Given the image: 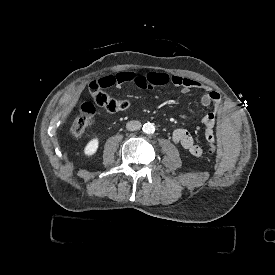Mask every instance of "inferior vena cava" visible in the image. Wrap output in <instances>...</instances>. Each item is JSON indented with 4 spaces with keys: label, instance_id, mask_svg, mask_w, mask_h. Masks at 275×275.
Instances as JSON below:
<instances>
[{
    "label": "inferior vena cava",
    "instance_id": "1",
    "mask_svg": "<svg viewBox=\"0 0 275 275\" xmlns=\"http://www.w3.org/2000/svg\"><path fill=\"white\" fill-rule=\"evenodd\" d=\"M141 122L136 121V120H132L127 122L126 124V129L129 131H135V130H139L141 128Z\"/></svg>",
    "mask_w": 275,
    "mask_h": 275
}]
</instances>
